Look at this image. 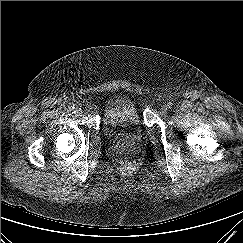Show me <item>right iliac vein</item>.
I'll use <instances>...</instances> for the list:
<instances>
[{
    "instance_id": "obj_1",
    "label": "right iliac vein",
    "mask_w": 243,
    "mask_h": 243,
    "mask_svg": "<svg viewBox=\"0 0 243 243\" xmlns=\"http://www.w3.org/2000/svg\"><path fill=\"white\" fill-rule=\"evenodd\" d=\"M76 115L77 116H82L83 115V111L81 109H77L76 110Z\"/></svg>"
}]
</instances>
